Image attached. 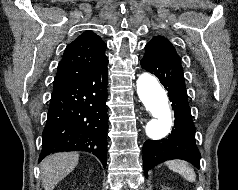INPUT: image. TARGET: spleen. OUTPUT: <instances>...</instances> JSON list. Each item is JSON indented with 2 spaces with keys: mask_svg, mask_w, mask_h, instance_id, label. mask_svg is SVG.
Here are the masks:
<instances>
[{
  "mask_svg": "<svg viewBox=\"0 0 238 190\" xmlns=\"http://www.w3.org/2000/svg\"><path fill=\"white\" fill-rule=\"evenodd\" d=\"M167 166L169 169L179 173L186 180L193 183L196 180V174L194 170L185 162L180 160L168 161Z\"/></svg>",
  "mask_w": 238,
  "mask_h": 190,
  "instance_id": "1",
  "label": "spleen"
}]
</instances>
